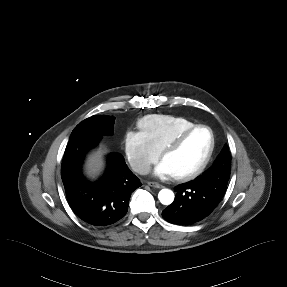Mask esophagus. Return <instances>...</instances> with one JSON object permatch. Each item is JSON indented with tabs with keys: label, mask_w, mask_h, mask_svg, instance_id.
<instances>
[{
	"label": "esophagus",
	"mask_w": 287,
	"mask_h": 287,
	"mask_svg": "<svg viewBox=\"0 0 287 287\" xmlns=\"http://www.w3.org/2000/svg\"><path fill=\"white\" fill-rule=\"evenodd\" d=\"M148 185L151 186V187H154V188H163V185L161 184H158L156 182H148Z\"/></svg>",
	"instance_id": "1"
}]
</instances>
